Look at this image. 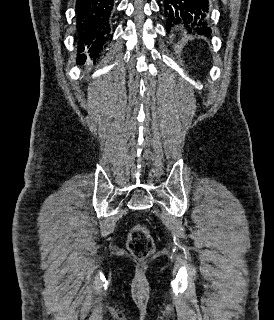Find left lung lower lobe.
<instances>
[{
    "instance_id": "left-lung-lower-lobe-1",
    "label": "left lung lower lobe",
    "mask_w": 274,
    "mask_h": 320,
    "mask_svg": "<svg viewBox=\"0 0 274 320\" xmlns=\"http://www.w3.org/2000/svg\"><path fill=\"white\" fill-rule=\"evenodd\" d=\"M164 12L170 23L184 22L197 30L198 34L210 35L208 25V0H164ZM167 23V30L170 23Z\"/></svg>"
}]
</instances>
